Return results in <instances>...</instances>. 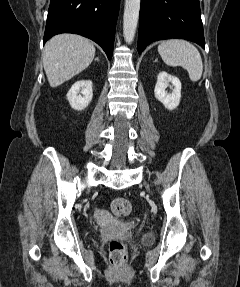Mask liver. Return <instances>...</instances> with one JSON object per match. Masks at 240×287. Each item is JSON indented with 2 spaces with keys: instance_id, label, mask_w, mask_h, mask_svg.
<instances>
[{
  "instance_id": "liver-1",
  "label": "liver",
  "mask_w": 240,
  "mask_h": 287,
  "mask_svg": "<svg viewBox=\"0 0 240 287\" xmlns=\"http://www.w3.org/2000/svg\"><path fill=\"white\" fill-rule=\"evenodd\" d=\"M95 56L93 43L80 35L60 34L45 45L42 60L48 82L55 88L86 69Z\"/></svg>"
}]
</instances>
